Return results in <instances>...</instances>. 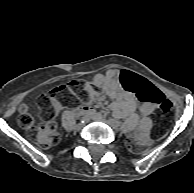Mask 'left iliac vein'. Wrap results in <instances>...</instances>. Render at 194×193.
I'll use <instances>...</instances> for the list:
<instances>
[{"mask_svg":"<svg viewBox=\"0 0 194 193\" xmlns=\"http://www.w3.org/2000/svg\"><path fill=\"white\" fill-rule=\"evenodd\" d=\"M96 120H102L103 122H105L107 125H109L113 129H117L120 125V122L115 120V119L104 120V119H101V118H96Z\"/></svg>","mask_w":194,"mask_h":193,"instance_id":"4c4485c4","label":"left iliac vein"}]
</instances>
